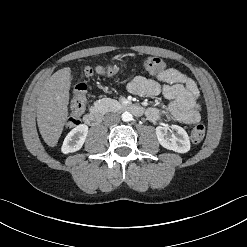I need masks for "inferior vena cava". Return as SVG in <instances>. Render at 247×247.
<instances>
[{"label":"inferior vena cava","instance_id":"inferior-vena-cava-1","mask_svg":"<svg viewBox=\"0 0 247 247\" xmlns=\"http://www.w3.org/2000/svg\"><path fill=\"white\" fill-rule=\"evenodd\" d=\"M120 121V116L118 114H108L104 118V123L106 125H115L119 123Z\"/></svg>","mask_w":247,"mask_h":247}]
</instances>
